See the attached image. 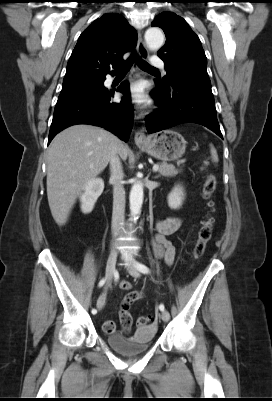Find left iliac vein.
<instances>
[{
	"mask_svg": "<svg viewBox=\"0 0 272 401\" xmlns=\"http://www.w3.org/2000/svg\"><path fill=\"white\" fill-rule=\"evenodd\" d=\"M127 270L129 272V274L133 277L140 276L138 269L132 263H129L127 265ZM160 317L164 322H168L170 319V315H169L168 311H166V310L161 312Z\"/></svg>",
	"mask_w": 272,
	"mask_h": 401,
	"instance_id": "1",
	"label": "left iliac vein"
}]
</instances>
